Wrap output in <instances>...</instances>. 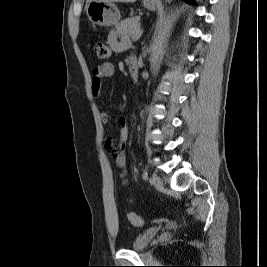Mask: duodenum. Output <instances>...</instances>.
I'll return each mask as SVG.
<instances>
[{
	"label": "duodenum",
	"mask_w": 267,
	"mask_h": 267,
	"mask_svg": "<svg viewBox=\"0 0 267 267\" xmlns=\"http://www.w3.org/2000/svg\"><path fill=\"white\" fill-rule=\"evenodd\" d=\"M129 74L133 80L139 76V64L135 58H132L129 63Z\"/></svg>",
	"instance_id": "410a0bca"
}]
</instances>
